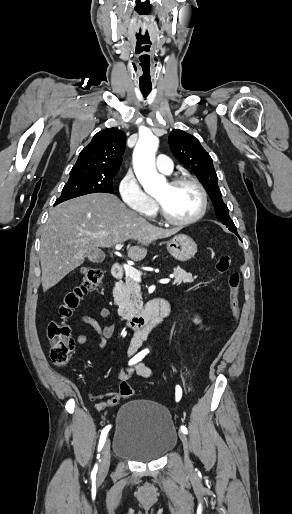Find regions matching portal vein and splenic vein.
<instances>
[{"label":"portal vein and splenic vein","mask_w":292,"mask_h":514,"mask_svg":"<svg viewBox=\"0 0 292 514\" xmlns=\"http://www.w3.org/2000/svg\"><path fill=\"white\" fill-rule=\"evenodd\" d=\"M121 244H117L115 246V250H121ZM114 254H118V252H114ZM123 268L126 272V276L132 278V280H136V282H141V274L136 270V268H132L131 264H123ZM160 284H168L170 280H159Z\"/></svg>","instance_id":"obj_1"}]
</instances>
